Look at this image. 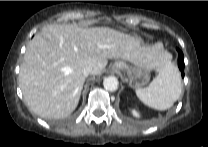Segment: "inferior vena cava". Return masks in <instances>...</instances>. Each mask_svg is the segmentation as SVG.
<instances>
[{"mask_svg":"<svg viewBox=\"0 0 208 147\" xmlns=\"http://www.w3.org/2000/svg\"><path fill=\"white\" fill-rule=\"evenodd\" d=\"M82 73H83V76L84 77H87L88 75L93 74V68H92V66H90V65L85 66L82 69Z\"/></svg>","mask_w":208,"mask_h":147,"instance_id":"obj_1","label":"inferior vena cava"}]
</instances>
